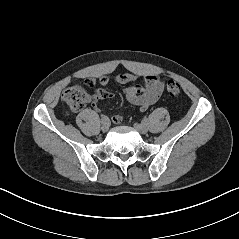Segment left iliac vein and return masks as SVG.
<instances>
[{"label":"left iliac vein","mask_w":239,"mask_h":239,"mask_svg":"<svg viewBox=\"0 0 239 239\" xmlns=\"http://www.w3.org/2000/svg\"><path fill=\"white\" fill-rule=\"evenodd\" d=\"M134 128L141 134H146L148 132V129L144 124L135 123Z\"/></svg>","instance_id":"left-iliac-vein-1"}]
</instances>
